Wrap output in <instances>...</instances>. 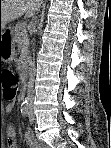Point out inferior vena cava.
I'll return each instance as SVG.
<instances>
[{"mask_svg": "<svg viewBox=\"0 0 111 148\" xmlns=\"http://www.w3.org/2000/svg\"><path fill=\"white\" fill-rule=\"evenodd\" d=\"M35 22L36 19L34 18ZM35 74H36V68L34 65V62L31 64L30 67V72H29V82H28V97L32 98L33 97V85H34V80H35Z\"/></svg>", "mask_w": 111, "mask_h": 148, "instance_id": "obj_1", "label": "inferior vena cava"}]
</instances>
